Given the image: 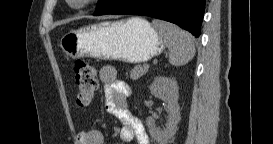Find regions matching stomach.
<instances>
[{"label":"stomach","mask_w":273,"mask_h":144,"mask_svg":"<svg viewBox=\"0 0 273 144\" xmlns=\"http://www.w3.org/2000/svg\"><path fill=\"white\" fill-rule=\"evenodd\" d=\"M60 47L72 59L91 57L142 63L162 53L165 43L146 19L132 17L70 31L61 38Z\"/></svg>","instance_id":"stomach-1"}]
</instances>
